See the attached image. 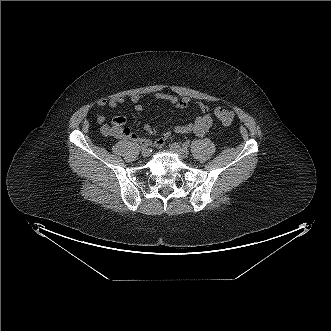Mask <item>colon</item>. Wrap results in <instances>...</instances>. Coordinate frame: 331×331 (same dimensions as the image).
<instances>
[{"label": "colon", "instance_id": "colon-1", "mask_svg": "<svg viewBox=\"0 0 331 331\" xmlns=\"http://www.w3.org/2000/svg\"><path fill=\"white\" fill-rule=\"evenodd\" d=\"M217 119L225 126H229L233 123L234 113L227 107L220 106L217 107L214 111Z\"/></svg>", "mask_w": 331, "mask_h": 331}]
</instances>
